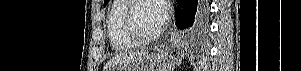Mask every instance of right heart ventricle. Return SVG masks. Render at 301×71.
Here are the masks:
<instances>
[{
  "label": "right heart ventricle",
  "instance_id": "1",
  "mask_svg": "<svg viewBox=\"0 0 301 71\" xmlns=\"http://www.w3.org/2000/svg\"><path fill=\"white\" fill-rule=\"evenodd\" d=\"M130 0H115L107 18V34L112 48L127 51L138 46L125 32L123 16Z\"/></svg>",
  "mask_w": 301,
  "mask_h": 71
}]
</instances>
